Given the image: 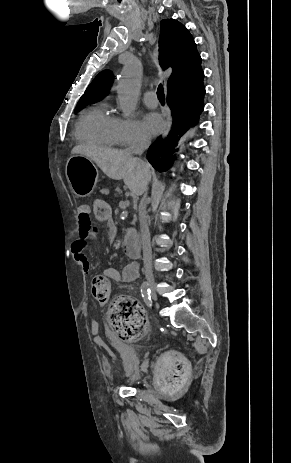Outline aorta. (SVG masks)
Wrapping results in <instances>:
<instances>
[{
	"instance_id": "obj_1",
	"label": "aorta",
	"mask_w": 291,
	"mask_h": 463,
	"mask_svg": "<svg viewBox=\"0 0 291 463\" xmlns=\"http://www.w3.org/2000/svg\"><path fill=\"white\" fill-rule=\"evenodd\" d=\"M141 76L142 67L138 60L131 61L122 70L117 91L119 106L125 117H130L136 109Z\"/></svg>"
}]
</instances>
